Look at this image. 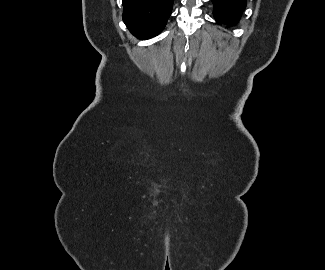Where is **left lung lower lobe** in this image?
Here are the masks:
<instances>
[{"instance_id": "0a47b994", "label": "left lung lower lobe", "mask_w": 325, "mask_h": 270, "mask_svg": "<svg viewBox=\"0 0 325 270\" xmlns=\"http://www.w3.org/2000/svg\"><path fill=\"white\" fill-rule=\"evenodd\" d=\"M214 5L213 14L221 24L234 25L238 22L247 0H211Z\"/></svg>"}]
</instances>
